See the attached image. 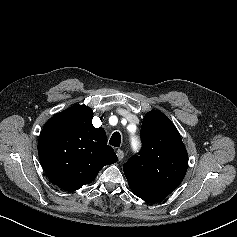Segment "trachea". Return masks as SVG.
Wrapping results in <instances>:
<instances>
[{
  "instance_id": "trachea-1",
  "label": "trachea",
  "mask_w": 237,
  "mask_h": 237,
  "mask_svg": "<svg viewBox=\"0 0 237 237\" xmlns=\"http://www.w3.org/2000/svg\"><path fill=\"white\" fill-rule=\"evenodd\" d=\"M109 144L114 146V147H119L121 144V135L119 132L113 133L109 140Z\"/></svg>"
}]
</instances>
